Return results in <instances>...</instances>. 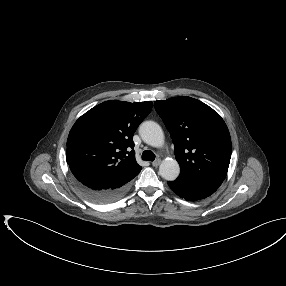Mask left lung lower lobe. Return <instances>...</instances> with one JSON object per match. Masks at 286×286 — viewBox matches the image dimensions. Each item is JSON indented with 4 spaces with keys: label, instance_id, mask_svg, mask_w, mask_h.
Segmentation results:
<instances>
[{
    "label": "left lung lower lobe",
    "instance_id": "obj_1",
    "mask_svg": "<svg viewBox=\"0 0 286 286\" xmlns=\"http://www.w3.org/2000/svg\"><path fill=\"white\" fill-rule=\"evenodd\" d=\"M168 185L179 197L188 201L204 199L218 189L210 184L180 175L175 181H169Z\"/></svg>",
    "mask_w": 286,
    "mask_h": 286
}]
</instances>
